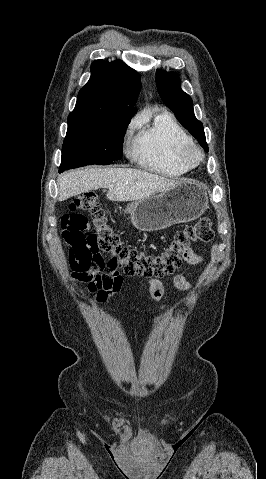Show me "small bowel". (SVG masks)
Listing matches in <instances>:
<instances>
[{"label":"small bowel","instance_id":"small-bowel-1","mask_svg":"<svg viewBox=\"0 0 266 479\" xmlns=\"http://www.w3.org/2000/svg\"><path fill=\"white\" fill-rule=\"evenodd\" d=\"M183 258L189 265H197L202 260V257L190 248L185 251ZM173 284L176 289L181 291H187L191 288V283L184 276L183 269H180L173 277ZM148 291L155 301H160L164 295L163 283L158 279H150L148 281Z\"/></svg>","mask_w":266,"mask_h":479}]
</instances>
